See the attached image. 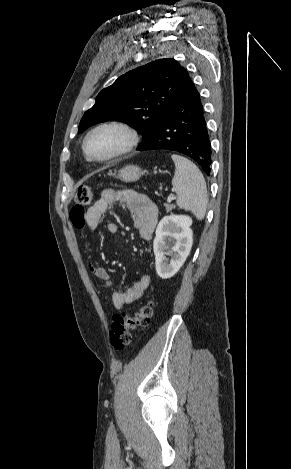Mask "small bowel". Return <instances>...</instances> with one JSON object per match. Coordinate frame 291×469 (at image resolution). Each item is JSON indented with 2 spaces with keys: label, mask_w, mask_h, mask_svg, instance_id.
Wrapping results in <instances>:
<instances>
[{
  "label": "small bowel",
  "mask_w": 291,
  "mask_h": 469,
  "mask_svg": "<svg viewBox=\"0 0 291 469\" xmlns=\"http://www.w3.org/2000/svg\"><path fill=\"white\" fill-rule=\"evenodd\" d=\"M117 203L123 204L131 214L134 226L139 230L144 240L152 237L158 219V212L155 204L145 195L134 190L124 189L115 191L104 190L99 199L86 211H82L79 218L70 214L74 227L82 229L87 225L91 229L99 226L106 211ZM110 234H115L118 226L114 222L107 224ZM89 270L98 279L104 288L111 286L110 274L104 267L94 261H90ZM150 285L148 274L143 273L140 279L127 290H116L112 294V303L115 309H122L125 305L139 300Z\"/></svg>",
  "instance_id": "1"
}]
</instances>
